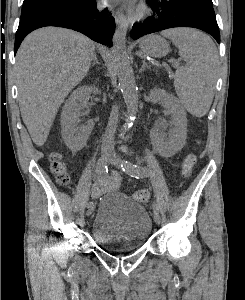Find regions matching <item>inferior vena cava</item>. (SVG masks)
<instances>
[{
	"label": "inferior vena cava",
	"instance_id": "obj_1",
	"mask_svg": "<svg viewBox=\"0 0 245 300\" xmlns=\"http://www.w3.org/2000/svg\"><path fill=\"white\" fill-rule=\"evenodd\" d=\"M118 121V107L113 106L109 122L105 131L102 142V151H112L114 146V134L116 130V125Z\"/></svg>",
	"mask_w": 245,
	"mask_h": 300
}]
</instances>
